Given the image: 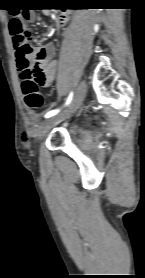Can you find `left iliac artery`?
I'll use <instances>...</instances> for the list:
<instances>
[{
	"instance_id": "44dca946",
	"label": "left iliac artery",
	"mask_w": 145,
	"mask_h": 278,
	"mask_svg": "<svg viewBox=\"0 0 145 278\" xmlns=\"http://www.w3.org/2000/svg\"><path fill=\"white\" fill-rule=\"evenodd\" d=\"M72 97H73V92H71L66 100V103H65V106L69 105L71 100H72ZM60 110L59 109H56V110H51L49 112L46 113L45 115V118H50L54 115H56Z\"/></svg>"
}]
</instances>
